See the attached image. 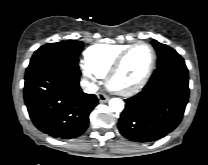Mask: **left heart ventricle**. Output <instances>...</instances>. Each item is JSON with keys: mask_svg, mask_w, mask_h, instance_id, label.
Masks as SVG:
<instances>
[{"mask_svg": "<svg viewBox=\"0 0 208 165\" xmlns=\"http://www.w3.org/2000/svg\"><path fill=\"white\" fill-rule=\"evenodd\" d=\"M151 61V51L145 46H139L127 57L122 69L115 78L121 86H130L139 81L146 72Z\"/></svg>", "mask_w": 208, "mask_h": 165, "instance_id": "1", "label": "left heart ventricle"}]
</instances>
